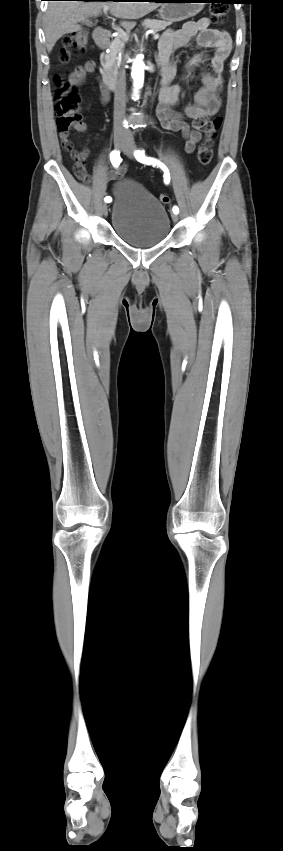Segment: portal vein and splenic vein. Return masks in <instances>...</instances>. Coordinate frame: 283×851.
<instances>
[{
  "mask_svg": "<svg viewBox=\"0 0 283 851\" xmlns=\"http://www.w3.org/2000/svg\"><path fill=\"white\" fill-rule=\"evenodd\" d=\"M108 10H109V8H108V7H104V8H103V11H104V13H105V14L107 13V11H108ZM116 30H117V32L120 34V36H121L123 39L128 40L129 36H128V34H127L125 31H123V30H122L121 28H119V27H116ZM153 38H154V40H157V39L159 38V35H158V34H154Z\"/></svg>",
  "mask_w": 283,
  "mask_h": 851,
  "instance_id": "1",
  "label": "portal vein and splenic vein"
}]
</instances>
